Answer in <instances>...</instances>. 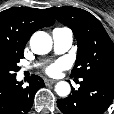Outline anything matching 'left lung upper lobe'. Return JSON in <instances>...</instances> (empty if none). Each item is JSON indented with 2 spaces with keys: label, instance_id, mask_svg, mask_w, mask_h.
<instances>
[{
  "label": "left lung upper lobe",
  "instance_id": "left-lung-upper-lobe-1",
  "mask_svg": "<svg viewBox=\"0 0 114 114\" xmlns=\"http://www.w3.org/2000/svg\"><path fill=\"white\" fill-rule=\"evenodd\" d=\"M48 11L70 27L78 41L71 77H94L114 81V44L101 22L89 12L74 8H49Z\"/></svg>",
  "mask_w": 114,
  "mask_h": 114
}]
</instances>
